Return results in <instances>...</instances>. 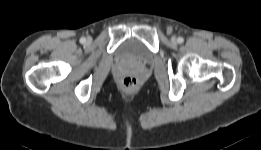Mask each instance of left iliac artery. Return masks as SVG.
<instances>
[{
	"instance_id": "obj_1",
	"label": "left iliac artery",
	"mask_w": 261,
	"mask_h": 150,
	"mask_svg": "<svg viewBox=\"0 0 261 150\" xmlns=\"http://www.w3.org/2000/svg\"><path fill=\"white\" fill-rule=\"evenodd\" d=\"M177 41H178V43H183L184 42V39L182 38V37H179L178 39H177Z\"/></svg>"
}]
</instances>
